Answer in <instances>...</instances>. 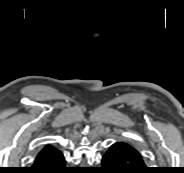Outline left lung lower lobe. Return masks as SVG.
<instances>
[{
	"label": "left lung lower lobe",
	"instance_id": "obj_1",
	"mask_svg": "<svg viewBox=\"0 0 184 173\" xmlns=\"http://www.w3.org/2000/svg\"><path fill=\"white\" fill-rule=\"evenodd\" d=\"M104 173H150L140 152L125 142H116L102 157Z\"/></svg>",
	"mask_w": 184,
	"mask_h": 173
}]
</instances>
